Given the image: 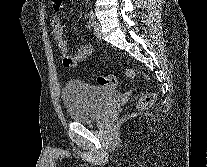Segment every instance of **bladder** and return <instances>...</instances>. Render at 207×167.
<instances>
[{
  "instance_id": "obj_1",
  "label": "bladder",
  "mask_w": 207,
  "mask_h": 167,
  "mask_svg": "<svg viewBox=\"0 0 207 167\" xmlns=\"http://www.w3.org/2000/svg\"><path fill=\"white\" fill-rule=\"evenodd\" d=\"M117 97L118 92L114 89L79 80L68 81L62 90V99L68 117L80 123L98 121Z\"/></svg>"
}]
</instances>
